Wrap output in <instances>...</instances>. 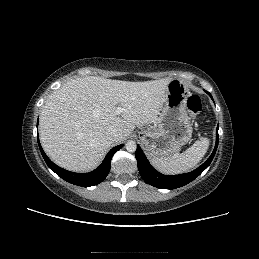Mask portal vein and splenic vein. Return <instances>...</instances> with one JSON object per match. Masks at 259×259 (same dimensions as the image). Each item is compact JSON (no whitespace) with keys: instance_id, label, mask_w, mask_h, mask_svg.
I'll use <instances>...</instances> for the list:
<instances>
[{"instance_id":"1","label":"portal vein and splenic vein","mask_w":259,"mask_h":259,"mask_svg":"<svg viewBox=\"0 0 259 259\" xmlns=\"http://www.w3.org/2000/svg\"><path fill=\"white\" fill-rule=\"evenodd\" d=\"M123 108L122 107H118L117 113L120 114L121 112H123Z\"/></svg>"}]
</instances>
